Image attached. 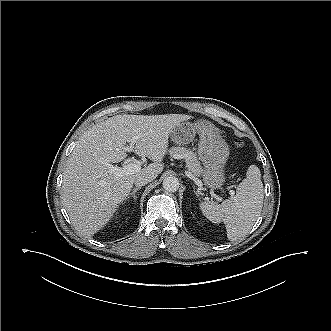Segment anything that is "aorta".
<instances>
[{"label":"aorta","instance_id":"aorta-1","mask_svg":"<svg viewBox=\"0 0 331 331\" xmlns=\"http://www.w3.org/2000/svg\"><path fill=\"white\" fill-rule=\"evenodd\" d=\"M162 185L167 192H176L179 189L180 183L176 177H167L164 179Z\"/></svg>","mask_w":331,"mask_h":331}]
</instances>
